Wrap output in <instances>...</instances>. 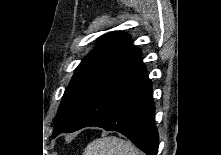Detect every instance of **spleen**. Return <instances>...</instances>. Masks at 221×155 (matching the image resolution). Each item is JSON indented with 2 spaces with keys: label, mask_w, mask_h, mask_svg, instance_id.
<instances>
[{
  "label": "spleen",
  "mask_w": 221,
  "mask_h": 155,
  "mask_svg": "<svg viewBox=\"0 0 221 155\" xmlns=\"http://www.w3.org/2000/svg\"><path fill=\"white\" fill-rule=\"evenodd\" d=\"M83 155H142V153L129 141L108 136L89 143Z\"/></svg>",
  "instance_id": "spleen-1"
}]
</instances>
